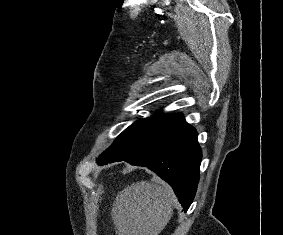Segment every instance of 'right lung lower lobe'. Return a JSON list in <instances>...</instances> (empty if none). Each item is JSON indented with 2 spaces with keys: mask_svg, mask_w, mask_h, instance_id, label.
<instances>
[{
  "mask_svg": "<svg viewBox=\"0 0 283 235\" xmlns=\"http://www.w3.org/2000/svg\"><path fill=\"white\" fill-rule=\"evenodd\" d=\"M201 158L197 132L183 119L163 139L124 161L157 173L172 186L186 211L197 189Z\"/></svg>",
  "mask_w": 283,
  "mask_h": 235,
  "instance_id": "1",
  "label": "right lung lower lobe"
}]
</instances>
